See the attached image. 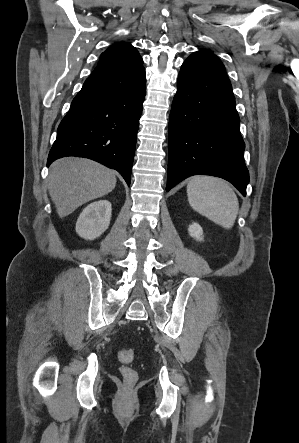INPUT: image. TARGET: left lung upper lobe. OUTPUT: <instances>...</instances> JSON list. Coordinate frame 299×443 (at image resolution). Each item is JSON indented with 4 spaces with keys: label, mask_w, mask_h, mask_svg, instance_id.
Wrapping results in <instances>:
<instances>
[{
    "label": "left lung upper lobe",
    "mask_w": 299,
    "mask_h": 443,
    "mask_svg": "<svg viewBox=\"0 0 299 443\" xmlns=\"http://www.w3.org/2000/svg\"><path fill=\"white\" fill-rule=\"evenodd\" d=\"M186 66L229 80L225 67L218 57L208 50L192 53L183 63Z\"/></svg>",
    "instance_id": "obj_1"
}]
</instances>
